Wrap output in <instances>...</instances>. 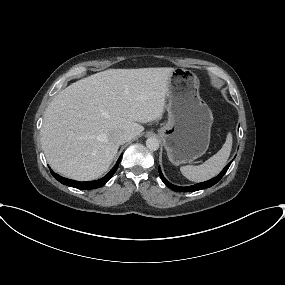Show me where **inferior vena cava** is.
Listing matches in <instances>:
<instances>
[{
	"mask_svg": "<svg viewBox=\"0 0 285 285\" xmlns=\"http://www.w3.org/2000/svg\"><path fill=\"white\" fill-rule=\"evenodd\" d=\"M112 139L115 143L121 145L128 141L129 135L124 131L118 130L112 134Z\"/></svg>",
	"mask_w": 285,
	"mask_h": 285,
	"instance_id": "obj_1",
	"label": "inferior vena cava"
}]
</instances>
